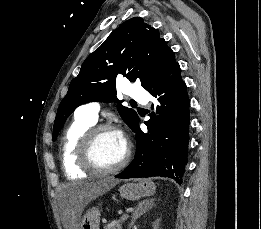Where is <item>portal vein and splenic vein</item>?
<instances>
[{
	"instance_id": "1",
	"label": "portal vein and splenic vein",
	"mask_w": 261,
	"mask_h": 229,
	"mask_svg": "<svg viewBox=\"0 0 261 229\" xmlns=\"http://www.w3.org/2000/svg\"><path fill=\"white\" fill-rule=\"evenodd\" d=\"M123 217H125V218L122 219V222L127 223L128 222V215H123Z\"/></svg>"
}]
</instances>
